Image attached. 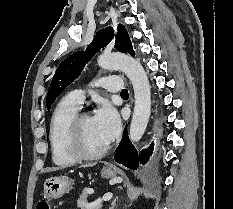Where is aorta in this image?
Listing matches in <instances>:
<instances>
[{
    "instance_id": "762f6f07",
    "label": "aorta",
    "mask_w": 233,
    "mask_h": 209,
    "mask_svg": "<svg viewBox=\"0 0 233 209\" xmlns=\"http://www.w3.org/2000/svg\"><path fill=\"white\" fill-rule=\"evenodd\" d=\"M98 64L104 69H120L130 79L134 89V112L129 129V138L137 143L143 136L151 112V91L147 74L141 63L125 54H102Z\"/></svg>"
}]
</instances>
